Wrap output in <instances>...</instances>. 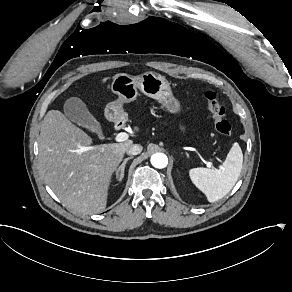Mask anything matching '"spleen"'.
<instances>
[{
	"label": "spleen",
	"instance_id": "spleen-1",
	"mask_svg": "<svg viewBox=\"0 0 292 292\" xmlns=\"http://www.w3.org/2000/svg\"><path fill=\"white\" fill-rule=\"evenodd\" d=\"M243 153L238 143H234L225 160L217 169L192 168L189 178L201 191L208 202L223 198L235 185L241 173Z\"/></svg>",
	"mask_w": 292,
	"mask_h": 292
}]
</instances>
